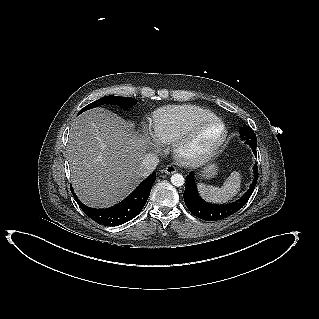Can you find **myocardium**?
Listing matches in <instances>:
<instances>
[{"instance_id": "1", "label": "myocardium", "mask_w": 319, "mask_h": 319, "mask_svg": "<svg viewBox=\"0 0 319 319\" xmlns=\"http://www.w3.org/2000/svg\"><path fill=\"white\" fill-rule=\"evenodd\" d=\"M217 125L220 128L219 136L205 148L195 151L193 145L200 135L210 126ZM228 135L225 123L218 117H211L195 123L185 134L174 143L175 158L186 166H200L209 162L224 144Z\"/></svg>"}]
</instances>
